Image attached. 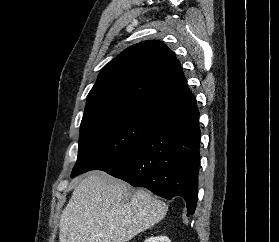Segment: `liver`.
<instances>
[{
	"label": "liver",
	"instance_id": "obj_1",
	"mask_svg": "<svg viewBox=\"0 0 279 242\" xmlns=\"http://www.w3.org/2000/svg\"><path fill=\"white\" fill-rule=\"evenodd\" d=\"M163 201L144 189L96 172L76 182L60 217L59 242H127L161 221Z\"/></svg>",
	"mask_w": 279,
	"mask_h": 242
}]
</instances>
